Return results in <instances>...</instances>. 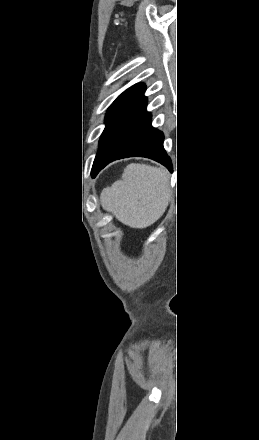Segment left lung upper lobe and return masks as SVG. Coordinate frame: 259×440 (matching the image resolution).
<instances>
[{"instance_id":"5c2ea615","label":"left lung upper lobe","mask_w":259,"mask_h":440,"mask_svg":"<svg viewBox=\"0 0 259 440\" xmlns=\"http://www.w3.org/2000/svg\"><path fill=\"white\" fill-rule=\"evenodd\" d=\"M145 88L146 87L143 83L133 85L124 91L109 107L105 117L106 127L99 141V150L94 160L93 167L97 157L105 148L119 124L143 95Z\"/></svg>"}]
</instances>
